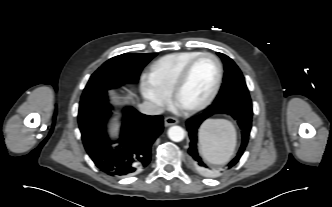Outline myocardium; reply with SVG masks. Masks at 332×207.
Returning <instances> with one entry per match:
<instances>
[{
  "instance_id": "obj_1",
  "label": "myocardium",
  "mask_w": 332,
  "mask_h": 207,
  "mask_svg": "<svg viewBox=\"0 0 332 207\" xmlns=\"http://www.w3.org/2000/svg\"><path fill=\"white\" fill-rule=\"evenodd\" d=\"M202 57H210L212 58L217 66V77H216V81L214 84V87L212 89V91L210 92V94L208 95V97L203 100L202 102H200L197 105L191 106V107H182L179 104V95L183 89V87L185 86L188 77L190 75V72L194 66V64L201 59ZM222 79H223V66L221 61L219 60V58L214 55L213 53L210 52H201L200 54L196 55L195 57H193L190 61H188V63L183 67V69L181 70L180 74L178 75L174 86L172 88V92H171V97H172V101L173 104L180 109L181 111H183L184 113L187 114H193V113H197L199 111L204 110L205 108H207L216 98L220 87H221V83H222Z\"/></svg>"
}]
</instances>
